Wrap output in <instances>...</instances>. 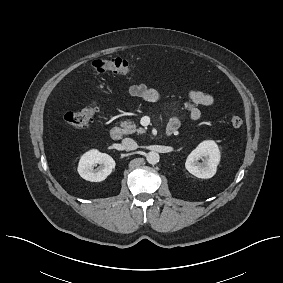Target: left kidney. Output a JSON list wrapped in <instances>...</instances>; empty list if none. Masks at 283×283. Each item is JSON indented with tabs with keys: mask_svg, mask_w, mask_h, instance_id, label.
Instances as JSON below:
<instances>
[{
	"mask_svg": "<svg viewBox=\"0 0 283 283\" xmlns=\"http://www.w3.org/2000/svg\"><path fill=\"white\" fill-rule=\"evenodd\" d=\"M203 159L202 163L198 160ZM220 162V150L212 140L201 142L187 157L185 167L192 175L208 179L215 175Z\"/></svg>",
	"mask_w": 283,
	"mask_h": 283,
	"instance_id": "5707ae66",
	"label": "left kidney"
}]
</instances>
